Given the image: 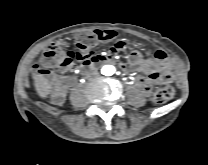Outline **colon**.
Segmentation results:
<instances>
[{
    "mask_svg": "<svg viewBox=\"0 0 208 165\" xmlns=\"http://www.w3.org/2000/svg\"><path fill=\"white\" fill-rule=\"evenodd\" d=\"M110 39H112V35L104 31L79 32L75 35L73 48L68 51L64 49L62 44L53 42L45 48L40 60L34 64V71L50 80L53 86V93L56 97H59L63 94L64 87L61 86L62 82L55 79L56 70L70 67L75 62H80L83 58L92 57L94 55V46L99 41ZM173 95V88H159L154 93V102L157 104H164L169 101Z\"/></svg>",
    "mask_w": 208,
    "mask_h": 165,
    "instance_id": "5ec220e1",
    "label": "colon"
}]
</instances>
